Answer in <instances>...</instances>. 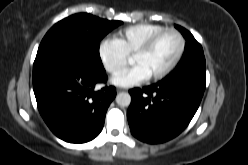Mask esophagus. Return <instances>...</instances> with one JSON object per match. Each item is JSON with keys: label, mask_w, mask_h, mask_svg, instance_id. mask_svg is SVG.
Wrapping results in <instances>:
<instances>
[{"label": "esophagus", "mask_w": 248, "mask_h": 165, "mask_svg": "<svg viewBox=\"0 0 248 165\" xmlns=\"http://www.w3.org/2000/svg\"><path fill=\"white\" fill-rule=\"evenodd\" d=\"M122 91H125L124 88H117V92H122Z\"/></svg>", "instance_id": "34e87169"}]
</instances>
